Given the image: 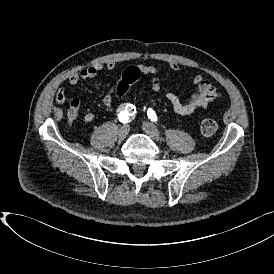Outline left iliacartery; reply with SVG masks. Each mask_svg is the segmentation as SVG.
<instances>
[{"mask_svg":"<svg viewBox=\"0 0 274 274\" xmlns=\"http://www.w3.org/2000/svg\"><path fill=\"white\" fill-rule=\"evenodd\" d=\"M147 115H148V118L153 121V122H156L157 121V116H156V113L153 109H148L147 111Z\"/></svg>","mask_w":274,"mask_h":274,"instance_id":"44dca946","label":"left iliac artery"}]
</instances>
